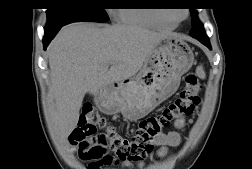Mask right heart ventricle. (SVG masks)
Wrapping results in <instances>:
<instances>
[{
	"mask_svg": "<svg viewBox=\"0 0 252 169\" xmlns=\"http://www.w3.org/2000/svg\"><path fill=\"white\" fill-rule=\"evenodd\" d=\"M116 15L120 22L130 25L158 30H172L176 27V23L149 10L120 8L116 10Z\"/></svg>",
	"mask_w": 252,
	"mask_h": 169,
	"instance_id": "obj_1",
	"label": "right heart ventricle"
}]
</instances>
